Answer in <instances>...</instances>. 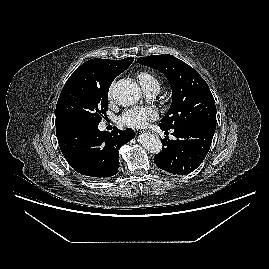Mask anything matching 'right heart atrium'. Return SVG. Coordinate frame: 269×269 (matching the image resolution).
<instances>
[{"instance_id":"d8ad5b80","label":"right heart atrium","mask_w":269,"mask_h":269,"mask_svg":"<svg viewBox=\"0 0 269 269\" xmlns=\"http://www.w3.org/2000/svg\"><path fill=\"white\" fill-rule=\"evenodd\" d=\"M108 97H109V99L113 98V84L110 86V88L108 90Z\"/></svg>"}]
</instances>
